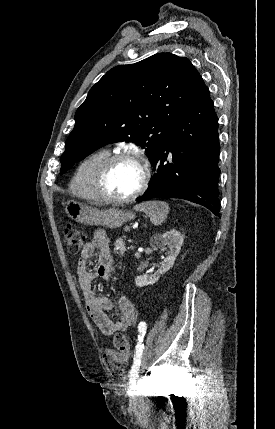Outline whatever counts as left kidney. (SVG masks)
I'll return each mask as SVG.
<instances>
[{
    "mask_svg": "<svg viewBox=\"0 0 275 429\" xmlns=\"http://www.w3.org/2000/svg\"><path fill=\"white\" fill-rule=\"evenodd\" d=\"M184 238L181 233L175 229H171L163 234H155L150 238V245L154 248L165 252V258L161 262L160 268L151 274L141 275L135 278L137 287H144L156 283L160 276L169 271L180 252Z\"/></svg>",
    "mask_w": 275,
    "mask_h": 429,
    "instance_id": "obj_1",
    "label": "left kidney"
}]
</instances>
